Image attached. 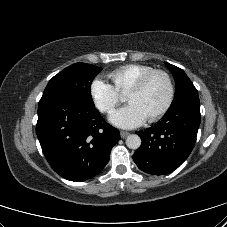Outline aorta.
Returning a JSON list of instances; mask_svg holds the SVG:
<instances>
[{
  "label": "aorta",
  "mask_w": 227,
  "mask_h": 227,
  "mask_svg": "<svg viewBox=\"0 0 227 227\" xmlns=\"http://www.w3.org/2000/svg\"><path fill=\"white\" fill-rule=\"evenodd\" d=\"M126 145L130 149H138L141 146V138L136 134H130L126 138Z\"/></svg>",
  "instance_id": "1"
}]
</instances>
